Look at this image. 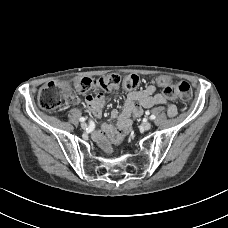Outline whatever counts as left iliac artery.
<instances>
[{"label":"left iliac artery","instance_id":"44dca946","mask_svg":"<svg viewBox=\"0 0 228 228\" xmlns=\"http://www.w3.org/2000/svg\"><path fill=\"white\" fill-rule=\"evenodd\" d=\"M155 118H156V117H155L154 115H151V116H150V119H151V120H154Z\"/></svg>","mask_w":228,"mask_h":228}]
</instances>
